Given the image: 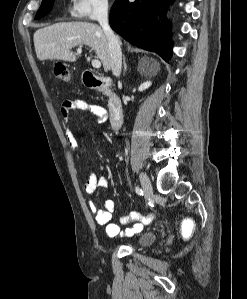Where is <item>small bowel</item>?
<instances>
[{"label":"small bowel","instance_id":"small-bowel-1","mask_svg":"<svg viewBox=\"0 0 247 299\" xmlns=\"http://www.w3.org/2000/svg\"><path fill=\"white\" fill-rule=\"evenodd\" d=\"M72 110H81L92 114L97 121L104 122L107 119V111L104 107L89 103L85 100H65L61 106V117L65 123L68 122L69 114ZM65 138L69 146L76 150L78 148V142L74 133L69 129H65ZM109 186V180L104 176H97L95 173H90L86 181L82 185L83 192L87 195H91L96 188H107ZM89 209L94 215L95 222L104 227L105 233L109 237H117L119 235L132 236L140 232L145 224H149L154 218V214L143 215L139 212L133 211L128 215L120 218V224H127L130 221H138L132 228H128L124 233L121 232L117 223L111 221L112 214L115 210V202L112 199H107L104 202V209H100L93 201L89 202Z\"/></svg>","mask_w":247,"mask_h":299}]
</instances>
